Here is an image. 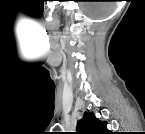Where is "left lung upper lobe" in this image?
I'll use <instances>...</instances> for the list:
<instances>
[{
	"label": "left lung upper lobe",
	"instance_id": "1",
	"mask_svg": "<svg viewBox=\"0 0 145 134\" xmlns=\"http://www.w3.org/2000/svg\"><path fill=\"white\" fill-rule=\"evenodd\" d=\"M78 134H109L107 123L99 121L94 114L85 112L83 118L78 122Z\"/></svg>",
	"mask_w": 145,
	"mask_h": 134
}]
</instances>
